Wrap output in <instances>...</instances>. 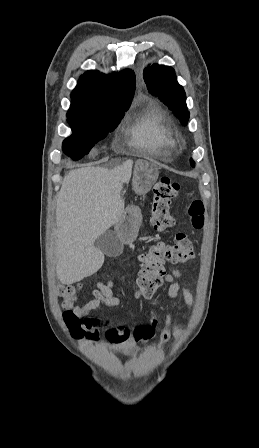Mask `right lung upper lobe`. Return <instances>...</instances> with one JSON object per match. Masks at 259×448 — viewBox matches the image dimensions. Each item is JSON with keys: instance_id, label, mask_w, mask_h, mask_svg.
Masks as SVG:
<instances>
[{"instance_id": "1", "label": "right lung upper lobe", "mask_w": 259, "mask_h": 448, "mask_svg": "<svg viewBox=\"0 0 259 448\" xmlns=\"http://www.w3.org/2000/svg\"><path fill=\"white\" fill-rule=\"evenodd\" d=\"M135 85V74L130 69L109 75L87 71L71 93L67 115L129 108Z\"/></svg>"}]
</instances>
